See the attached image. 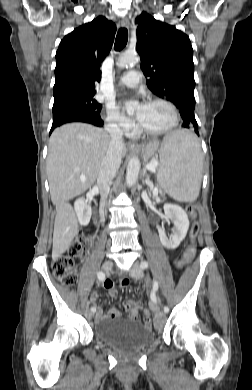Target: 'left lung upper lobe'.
I'll list each match as a JSON object with an SVG mask.
<instances>
[{
    "label": "left lung upper lobe",
    "instance_id": "1",
    "mask_svg": "<svg viewBox=\"0 0 252 390\" xmlns=\"http://www.w3.org/2000/svg\"><path fill=\"white\" fill-rule=\"evenodd\" d=\"M136 50L148 88L173 102L181 116H194V63L189 37L146 12L136 19Z\"/></svg>",
    "mask_w": 252,
    "mask_h": 390
}]
</instances>
